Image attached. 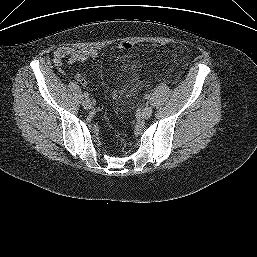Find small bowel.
I'll return each instance as SVG.
<instances>
[{
    "instance_id": "small-bowel-1",
    "label": "small bowel",
    "mask_w": 257,
    "mask_h": 257,
    "mask_svg": "<svg viewBox=\"0 0 257 257\" xmlns=\"http://www.w3.org/2000/svg\"><path fill=\"white\" fill-rule=\"evenodd\" d=\"M97 57L98 52L94 49L60 47L53 53V61L57 67H60L64 62H67L70 65L74 63L91 62ZM118 60L122 64L123 69L135 78L138 72V65L134 61H131V56L129 54H124L119 56ZM74 78L80 85H87V80L83 75L76 74Z\"/></svg>"
}]
</instances>
